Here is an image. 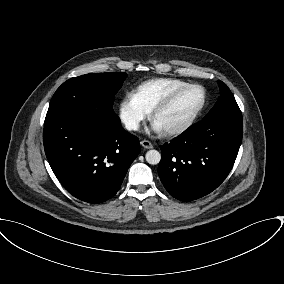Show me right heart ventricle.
<instances>
[{
  "label": "right heart ventricle",
  "instance_id": "e07e8e85",
  "mask_svg": "<svg viewBox=\"0 0 284 284\" xmlns=\"http://www.w3.org/2000/svg\"><path fill=\"white\" fill-rule=\"evenodd\" d=\"M186 84V81L176 78L150 79L138 85L134 95L140 104L151 112L170 93Z\"/></svg>",
  "mask_w": 284,
  "mask_h": 284
}]
</instances>
